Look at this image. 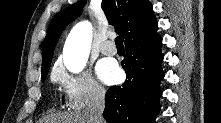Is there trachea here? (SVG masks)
I'll list each match as a JSON object with an SVG mask.
<instances>
[{"label":"trachea","instance_id":"obj_1","mask_svg":"<svg viewBox=\"0 0 221 123\" xmlns=\"http://www.w3.org/2000/svg\"><path fill=\"white\" fill-rule=\"evenodd\" d=\"M115 44H116L117 48H124L123 40H122L121 36L116 37Z\"/></svg>","mask_w":221,"mask_h":123}]
</instances>
